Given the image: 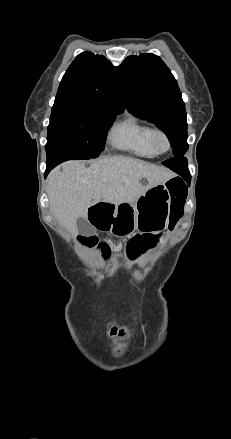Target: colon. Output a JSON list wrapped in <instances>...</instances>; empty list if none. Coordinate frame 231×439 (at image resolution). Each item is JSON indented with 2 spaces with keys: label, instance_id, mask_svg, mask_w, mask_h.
<instances>
[{
  "label": "colon",
  "instance_id": "1",
  "mask_svg": "<svg viewBox=\"0 0 231 439\" xmlns=\"http://www.w3.org/2000/svg\"><path fill=\"white\" fill-rule=\"evenodd\" d=\"M168 190L172 196L175 209L173 221H177L182 216V206L187 195V188L181 181L171 180L168 182ZM143 228L146 229V227ZM136 239L137 237H135L133 240ZM82 242L88 247L95 248L104 260L109 259V246L105 242L100 241L96 236L83 237Z\"/></svg>",
  "mask_w": 231,
  "mask_h": 439
}]
</instances>
